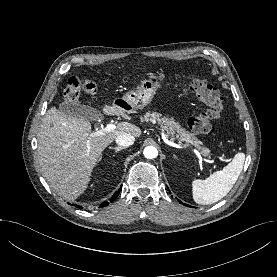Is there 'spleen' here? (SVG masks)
I'll return each instance as SVG.
<instances>
[{
	"instance_id": "3e777b00",
	"label": "spleen",
	"mask_w": 277,
	"mask_h": 277,
	"mask_svg": "<svg viewBox=\"0 0 277 277\" xmlns=\"http://www.w3.org/2000/svg\"><path fill=\"white\" fill-rule=\"evenodd\" d=\"M244 161V153H237L222 171L214 172L205 180H194L192 182L194 201L200 205H208L225 197L236 183Z\"/></svg>"
}]
</instances>
